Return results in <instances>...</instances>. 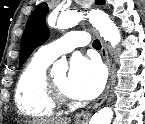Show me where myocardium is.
<instances>
[{"label": "myocardium", "mask_w": 145, "mask_h": 124, "mask_svg": "<svg viewBox=\"0 0 145 124\" xmlns=\"http://www.w3.org/2000/svg\"><path fill=\"white\" fill-rule=\"evenodd\" d=\"M46 89L48 93V97L56 106H68L72 103L70 96L67 93L61 91L53 79L46 75Z\"/></svg>", "instance_id": "myocardium-1"}]
</instances>
